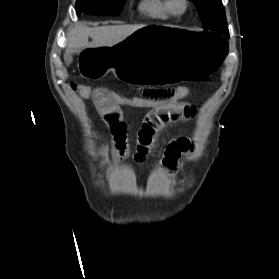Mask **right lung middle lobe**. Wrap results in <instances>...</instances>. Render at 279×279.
Wrapping results in <instances>:
<instances>
[{"label":"right lung middle lobe","instance_id":"obj_1","mask_svg":"<svg viewBox=\"0 0 279 279\" xmlns=\"http://www.w3.org/2000/svg\"><path fill=\"white\" fill-rule=\"evenodd\" d=\"M126 0H77L76 12L93 15L115 16L121 12Z\"/></svg>","mask_w":279,"mask_h":279}]
</instances>
